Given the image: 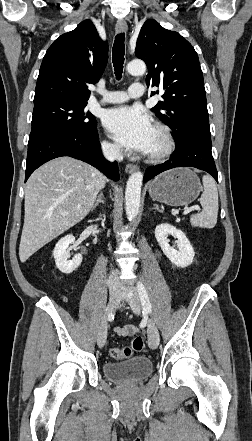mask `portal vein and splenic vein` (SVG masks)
Listing matches in <instances>:
<instances>
[{"label": "portal vein and splenic vein", "mask_w": 252, "mask_h": 441, "mask_svg": "<svg viewBox=\"0 0 252 441\" xmlns=\"http://www.w3.org/2000/svg\"><path fill=\"white\" fill-rule=\"evenodd\" d=\"M194 210L199 211V210H200V207H199V206L189 207V208H187V209L183 212V215H187V214H189L190 212H192V211H194Z\"/></svg>", "instance_id": "1"}]
</instances>
